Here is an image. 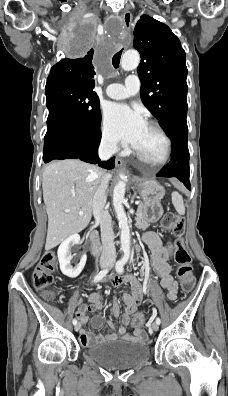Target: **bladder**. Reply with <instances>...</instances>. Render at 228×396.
Wrapping results in <instances>:
<instances>
[{"mask_svg":"<svg viewBox=\"0 0 228 396\" xmlns=\"http://www.w3.org/2000/svg\"><path fill=\"white\" fill-rule=\"evenodd\" d=\"M85 354L108 369L133 368L149 358V346L140 341L114 339L93 345Z\"/></svg>","mask_w":228,"mask_h":396,"instance_id":"bladder-1","label":"bladder"}]
</instances>
